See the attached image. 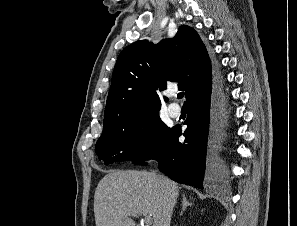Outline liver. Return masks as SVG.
I'll return each mask as SVG.
<instances>
[{
	"label": "liver",
	"mask_w": 297,
	"mask_h": 226,
	"mask_svg": "<svg viewBox=\"0 0 297 226\" xmlns=\"http://www.w3.org/2000/svg\"><path fill=\"white\" fill-rule=\"evenodd\" d=\"M178 195L177 183L155 172L110 171L95 191L96 226H136L132 218L141 214L153 226H170Z\"/></svg>",
	"instance_id": "1"
}]
</instances>
